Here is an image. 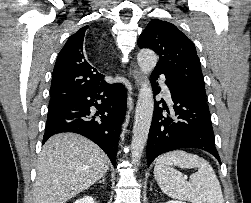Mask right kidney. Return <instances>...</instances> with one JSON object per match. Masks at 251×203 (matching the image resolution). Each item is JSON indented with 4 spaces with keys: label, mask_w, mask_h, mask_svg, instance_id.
<instances>
[{
    "label": "right kidney",
    "mask_w": 251,
    "mask_h": 203,
    "mask_svg": "<svg viewBox=\"0 0 251 203\" xmlns=\"http://www.w3.org/2000/svg\"><path fill=\"white\" fill-rule=\"evenodd\" d=\"M74 203H95V202L91 196H84V197L76 200Z\"/></svg>",
    "instance_id": "right-kidney-1"
}]
</instances>
